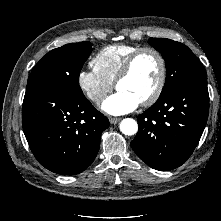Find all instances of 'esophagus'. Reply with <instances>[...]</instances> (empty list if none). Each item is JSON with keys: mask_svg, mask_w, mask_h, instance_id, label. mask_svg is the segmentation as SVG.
<instances>
[{"mask_svg": "<svg viewBox=\"0 0 221 221\" xmlns=\"http://www.w3.org/2000/svg\"><path fill=\"white\" fill-rule=\"evenodd\" d=\"M120 120H121L120 118H114V117L109 118L111 124H117Z\"/></svg>", "mask_w": 221, "mask_h": 221, "instance_id": "34e87169", "label": "esophagus"}]
</instances>
